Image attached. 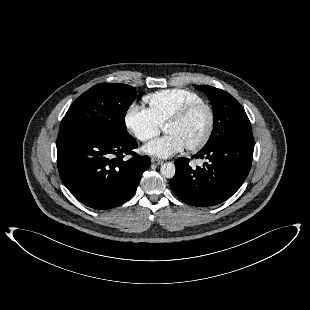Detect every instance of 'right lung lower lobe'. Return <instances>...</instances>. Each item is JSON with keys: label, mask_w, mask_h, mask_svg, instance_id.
<instances>
[{"label": "right lung lower lobe", "mask_w": 310, "mask_h": 310, "mask_svg": "<svg viewBox=\"0 0 310 310\" xmlns=\"http://www.w3.org/2000/svg\"><path fill=\"white\" fill-rule=\"evenodd\" d=\"M134 137L115 139L99 133L71 129L57 138L61 180L81 203L105 210L117 207L136 192L142 174L150 167L148 156L133 149ZM126 155H132L129 160Z\"/></svg>", "instance_id": "1"}]
</instances>
